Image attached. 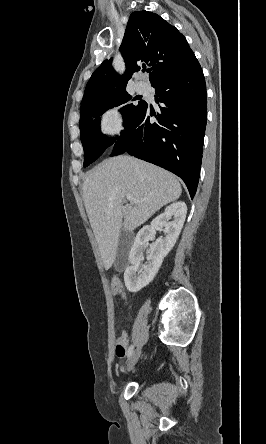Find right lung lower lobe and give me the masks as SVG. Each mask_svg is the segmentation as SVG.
<instances>
[{"label":"right lung lower lobe","instance_id":"obj_1","mask_svg":"<svg viewBox=\"0 0 266 444\" xmlns=\"http://www.w3.org/2000/svg\"><path fill=\"white\" fill-rule=\"evenodd\" d=\"M157 114L145 103L140 115L115 142L111 156L128 153L178 175L194 197L207 120L204 75L198 61L156 81ZM155 116L156 122L150 121Z\"/></svg>","mask_w":266,"mask_h":444}]
</instances>
